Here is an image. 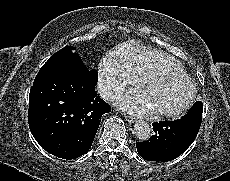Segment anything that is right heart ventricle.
<instances>
[{"label":"right heart ventricle","instance_id":"obj_1","mask_svg":"<svg viewBox=\"0 0 230 181\" xmlns=\"http://www.w3.org/2000/svg\"><path fill=\"white\" fill-rule=\"evenodd\" d=\"M107 58L112 65L128 69L135 77L141 79L159 70L184 72L182 65L168 55L134 41L116 46L108 53Z\"/></svg>","mask_w":230,"mask_h":181}]
</instances>
